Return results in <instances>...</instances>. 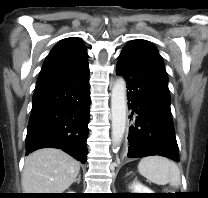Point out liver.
Listing matches in <instances>:
<instances>
[{
	"instance_id": "obj_1",
	"label": "liver",
	"mask_w": 208,
	"mask_h": 198,
	"mask_svg": "<svg viewBox=\"0 0 208 198\" xmlns=\"http://www.w3.org/2000/svg\"><path fill=\"white\" fill-rule=\"evenodd\" d=\"M79 171L80 163L63 151L40 149L25 159L22 189L26 193H63Z\"/></svg>"
}]
</instances>
